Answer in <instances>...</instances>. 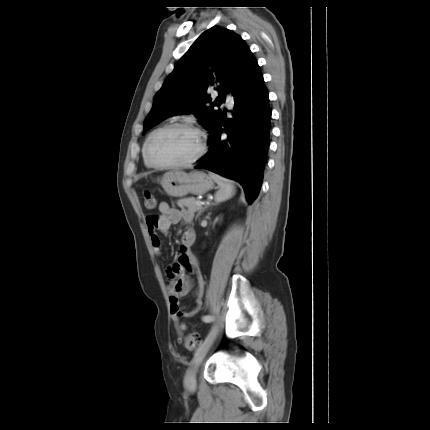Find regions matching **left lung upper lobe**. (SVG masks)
Returning <instances> with one entry per match:
<instances>
[{
	"instance_id": "left-lung-upper-lobe-1",
	"label": "left lung upper lobe",
	"mask_w": 430,
	"mask_h": 430,
	"mask_svg": "<svg viewBox=\"0 0 430 430\" xmlns=\"http://www.w3.org/2000/svg\"><path fill=\"white\" fill-rule=\"evenodd\" d=\"M257 69V60L241 36L213 26L192 44L156 93L144 131L171 115L187 112L209 130L222 112L214 110L217 104L211 103L208 88L219 83L222 89L218 88L217 100H224L226 92L233 94L240 83L251 81Z\"/></svg>"
}]
</instances>
